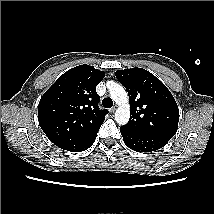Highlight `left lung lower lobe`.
<instances>
[{
  "label": "left lung lower lobe",
  "instance_id": "0a47b994",
  "mask_svg": "<svg viewBox=\"0 0 214 214\" xmlns=\"http://www.w3.org/2000/svg\"><path fill=\"white\" fill-rule=\"evenodd\" d=\"M125 144L137 152H151L165 146L169 140L120 127Z\"/></svg>",
  "mask_w": 214,
  "mask_h": 214
}]
</instances>
